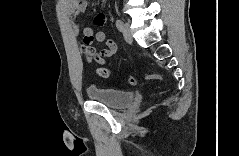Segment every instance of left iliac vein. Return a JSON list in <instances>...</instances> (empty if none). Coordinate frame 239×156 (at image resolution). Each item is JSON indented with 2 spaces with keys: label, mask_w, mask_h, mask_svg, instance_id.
I'll return each instance as SVG.
<instances>
[{
  "label": "left iliac vein",
  "mask_w": 239,
  "mask_h": 156,
  "mask_svg": "<svg viewBox=\"0 0 239 156\" xmlns=\"http://www.w3.org/2000/svg\"><path fill=\"white\" fill-rule=\"evenodd\" d=\"M122 33H123L124 39L127 42L131 43L132 42V34H131L129 24L127 22L123 23Z\"/></svg>",
  "instance_id": "left-iliac-vein-1"
}]
</instances>
